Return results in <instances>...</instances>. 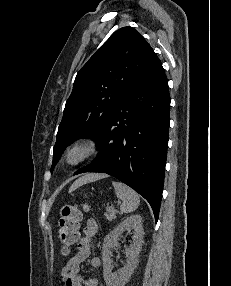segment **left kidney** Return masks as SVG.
Returning <instances> with one entry per match:
<instances>
[{
  "label": "left kidney",
  "mask_w": 231,
  "mask_h": 286,
  "mask_svg": "<svg viewBox=\"0 0 231 286\" xmlns=\"http://www.w3.org/2000/svg\"><path fill=\"white\" fill-rule=\"evenodd\" d=\"M133 230V241L125 250L126 264L118 272H112V249L117 245L120 235L124 231ZM143 244V226L140 215H132L122 221L105 238L102 247L103 277L107 286H124L130 279L138 264V256Z\"/></svg>",
  "instance_id": "obj_1"
}]
</instances>
